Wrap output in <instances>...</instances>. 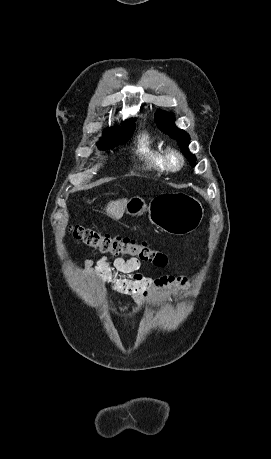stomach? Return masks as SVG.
<instances>
[{
	"label": "stomach",
	"mask_w": 271,
	"mask_h": 459,
	"mask_svg": "<svg viewBox=\"0 0 271 459\" xmlns=\"http://www.w3.org/2000/svg\"><path fill=\"white\" fill-rule=\"evenodd\" d=\"M144 212H148L149 220L156 228L175 235L191 233L200 226L204 216L201 202L181 192L156 196L148 206L141 198H131L127 202L126 214L129 216H142Z\"/></svg>",
	"instance_id": "obj_1"
}]
</instances>
